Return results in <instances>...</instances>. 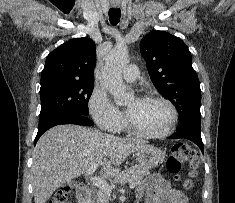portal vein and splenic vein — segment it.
<instances>
[{
  "label": "portal vein and splenic vein",
  "instance_id": "1",
  "mask_svg": "<svg viewBox=\"0 0 235 203\" xmlns=\"http://www.w3.org/2000/svg\"><path fill=\"white\" fill-rule=\"evenodd\" d=\"M99 167V164H95L87 170L86 175L90 178V181L97 186L101 191H103L105 194L110 195L111 194V186L102 178L93 176L94 171ZM135 183L130 184V188H135Z\"/></svg>",
  "mask_w": 235,
  "mask_h": 203
}]
</instances>
